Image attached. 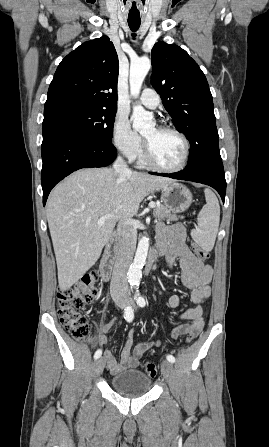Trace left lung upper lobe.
Segmentation results:
<instances>
[{
	"label": "left lung upper lobe",
	"mask_w": 269,
	"mask_h": 447,
	"mask_svg": "<svg viewBox=\"0 0 269 447\" xmlns=\"http://www.w3.org/2000/svg\"><path fill=\"white\" fill-rule=\"evenodd\" d=\"M151 60L152 85L190 142L185 170L221 161L212 95L202 70L185 50L163 41L153 46Z\"/></svg>",
	"instance_id": "left-lung-upper-lobe-1"
}]
</instances>
